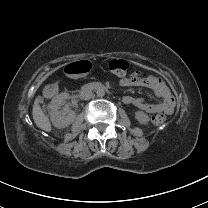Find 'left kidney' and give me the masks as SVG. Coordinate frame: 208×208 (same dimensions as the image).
I'll use <instances>...</instances> for the list:
<instances>
[{
	"mask_svg": "<svg viewBox=\"0 0 208 208\" xmlns=\"http://www.w3.org/2000/svg\"><path fill=\"white\" fill-rule=\"evenodd\" d=\"M135 120L140 124V125H148L150 118L149 116L141 110H138L135 112Z\"/></svg>",
	"mask_w": 208,
	"mask_h": 208,
	"instance_id": "1",
	"label": "left kidney"
}]
</instances>
